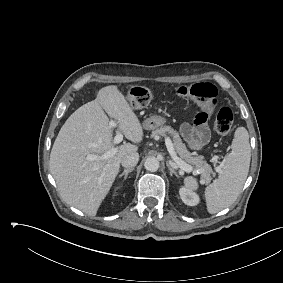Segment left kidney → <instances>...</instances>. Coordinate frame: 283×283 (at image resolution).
<instances>
[{"label":"left kidney","instance_id":"left-kidney-1","mask_svg":"<svg viewBox=\"0 0 283 283\" xmlns=\"http://www.w3.org/2000/svg\"><path fill=\"white\" fill-rule=\"evenodd\" d=\"M182 201L188 206H195L199 203V196L192 190L182 187L179 190Z\"/></svg>","mask_w":283,"mask_h":283}]
</instances>
